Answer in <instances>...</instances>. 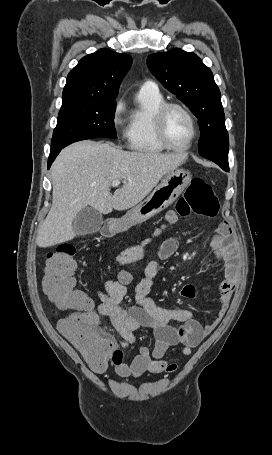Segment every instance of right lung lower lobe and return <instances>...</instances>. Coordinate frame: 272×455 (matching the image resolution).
Instances as JSON below:
<instances>
[{"instance_id": "1", "label": "right lung lower lobe", "mask_w": 272, "mask_h": 455, "mask_svg": "<svg viewBox=\"0 0 272 455\" xmlns=\"http://www.w3.org/2000/svg\"><path fill=\"white\" fill-rule=\"evenodd\" d=\"M61 149H62V148L55 149V150H51L50 155H49V159H48V168H50L52 162L54 161V159L56 158V156L59 154V152L61 151Z\"/></svg>"}]
</instances>
